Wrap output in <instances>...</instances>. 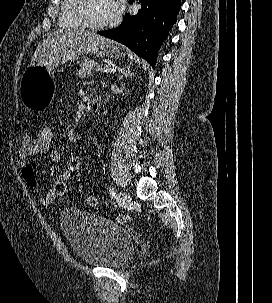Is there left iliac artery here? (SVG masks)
Here are the masks:
<instances>
[{
	"label": "left iliac artery",
	"mask_w": 272,
	"mask_h": 303,
	"mask_svg": "<svg viewBox=\"0 0 272 303\" xmlns=\"http://www.w3.org/2000/svg\"><path fill=\"white\" fill-rule=\"evenodd\" d=\"M109 192L112 197L115 196V188L113 186L109 188Z\"/></svg>",
	"instance_id": "left-iliac-artery-1"
}]
</instances>
